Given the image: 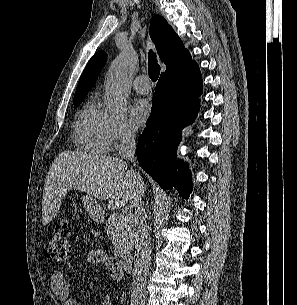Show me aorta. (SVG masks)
<instances>
[{"mask_svg": "<svg viewBox=\"0 0 297 305\" xmlns=\"http://www.w3.org/2000/svg\"><path fill=\"white\" fill-rule=\"evenodd\" d=\"M134 50L127 48L111 64L106 81V101L109 110L115 113L126 111L130 93V79L137 65Z\"/></svg>", "mask_w": 297, "mask_h": 305, "instance_id": "762f6f07", "label": "aorta"}]
</instances>
